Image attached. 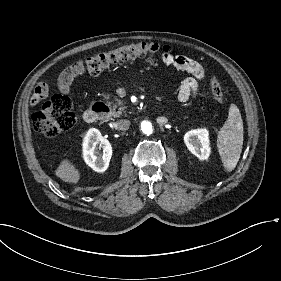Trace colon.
<instances>
[{"label": "colon", "instance_id": "obj_1", "mask_svg": "<svg viewBox=\"0 0 281 281\" xmlns=\"http://www.w3.org/2000/svg\"><path fill=\"white\" fill-rule=\"evenodd\" d=\"M166 47L157 43L137 42L122 45L114 50L97 53L75 63V73L99 74L119 63L141 57H155ZM211 91L217 100L224 102V90L216 80L211 81ZM75 124V114L71 108L69 98L63 95L52 96L42 108L33 116L34 128L46 135L55 137L67 132Z\"/></svg>", "mask_w": 281, "mask_h": 281}]
</instances>
